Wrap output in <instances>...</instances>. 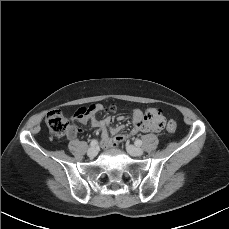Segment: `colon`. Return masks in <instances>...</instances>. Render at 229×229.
<instances>
[{
	"label": "colon",
	"instance_id": "colon-1",
	"mask_svg": "<svg viewBox=\"0 0 229 229\" xmlns=\"http://www.w3.org/2000/svg\"><path fill=\"white\" fill-rule=\"evenodd\" d=\"M97 109L98 108L96 105H90L88 107L79 109V113L82 115L92 114ZM110 109L113 110L112 107ZM144 120L149 128H159L165 122V118L162 114V111L158 109L147 110L144 115ZM46 124L51 134L56 138L64 137L72 128L64 119L61 111L59 110H52L48 113L46 117ZM176 129L177 124L173 121H170L166 126V130L168 133H174Z\"/></svg>",
	"mask_w": 229,
	"mask_h": 229
}]
</instances>
